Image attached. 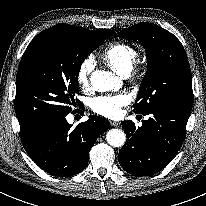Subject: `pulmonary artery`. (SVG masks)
<instances>
[{"label":"pulmonary artery","mask_w":206,"mask_h":206,"mask_svg":"<svg viewBox=\"0 0 206 206\" xmlns=\"http://www.w3.org/2000/svg\"><path fill=\"white\" fill-rule=\"evenodd\" d=\"M129 73H125L124 76H128Z\"/></svg>","instance_id":"pulmonary-artery-1"}]
</instances>
